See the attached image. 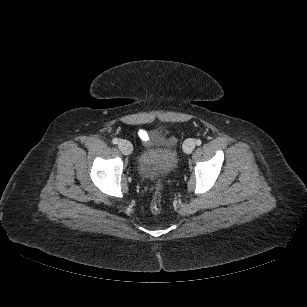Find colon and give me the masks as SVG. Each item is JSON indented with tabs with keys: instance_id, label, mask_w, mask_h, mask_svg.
Wrapping results in <instances>:
<instances>
[{
	"instance_id": "obj_1",
	"label": "colon",
	"mask_w": 307,
	"mask_h": 307,
	"mask_svg": "<svg viewBox=\"0 0 307 307\" xmlns=\"http://www.w3.org/2000/svg\"><path fill=\"white\" fill-rule=\"evenodd\" d=\"M151 211L155 214L161 211V196L159 192H156L151 202Z\"/></svg>"
}]
</instances>
